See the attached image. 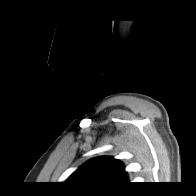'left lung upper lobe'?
Segmentation results:
<instances>
[{"mask_svg":"<svg viewBox=\"0 0 196 196\" xmlns=\"http://www.w3.org/2000/svg\"><path fill=\"white\" fill-rule=\"evenodd\" d=\"M87 189L114 188L128 183L123 164L112 157H98L84 163L67 181Z\"/></svg>","mask_w":196,"mask_h":196,"instance_id":"obj_1","label":"left lung upper lobe"}]
</instances>
